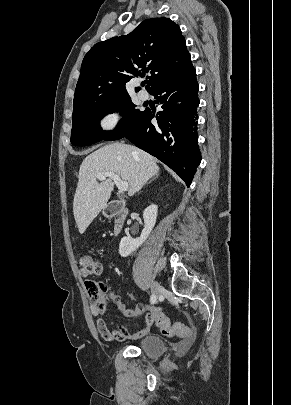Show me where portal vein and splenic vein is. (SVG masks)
I'll list each match as a JSON object with an SVG mask.
<instances>
[{"label":"portal vein and splenic vein","instance_id":"1","mask_svg":"<svg viewBox=\"0 0 291 405\" xmlns=\"http://www.w3.org/2000/svg\"><path fill=\"white\" fill-rule=\"evenodd\" d=\"M96 177L98 180L101 181L105 180L107 177L111 178L118 187L120 192H125L128 190V182L122 181L121 178L113 172L98 173Z\"/></svg>","mask_w":291,"mask_h":405}]
</instances>
